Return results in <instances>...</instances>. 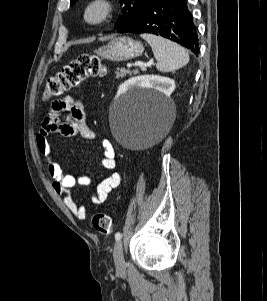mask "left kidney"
I'll return each mask as SVG.
<instances>
[{
	"instance_id": "obj_1",
	"label": "left kidney",
	"mask_w": 267,
	"mask_h": 301,
	"mask_svg": "<svg viewBox=\"0 0 267 301\" xmlns=\"http://www.w3.org/2000/svg\"><path fill=\"white\" fill-rule=\"evenodd\" d=\"M151 89L170 97L175 89V81L158 75L137 76L124 82L118 89L117 96L126 93L132 87Z\"/></svg>"
}]
</instances>
